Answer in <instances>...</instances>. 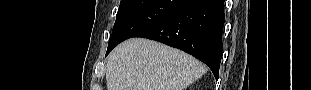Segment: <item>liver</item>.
<instances>
[{
	"label": "liver",
	"instance_id": "6515ba94",
	"mask_svg": "<svg viewBox=\"0 0 311 90\" xmlns=\"http://www.w3.org/2000/svg\"><path fill=\"white\" fill-rule=\"evenodd\" d=\"M206 71L204 64L185 52L132 38L110 53L106 84L108 90H184Z\"/></svg>",
	"mask_w": 311,
	"mask_h": 90
}]
</instances>
